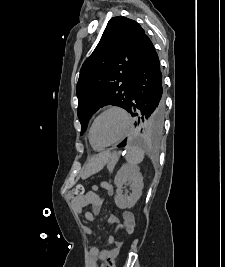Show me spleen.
Returning a JSON list of instances; mask_svg holds the SVG:
<instances>
[{
  "instance_id": "obj_1",
  "label": "spleen",
  "mask_w": 225,
  "mask_h": 267,
  "mask_svg": "<svg viewBox=\"0 0 225 267\" xmlns=\"http://www.w3.org/2000/svg\"><path fill=\"white\" fill-rule=\"evenodd\" d=\"M145 151L138 146H127L125 159L131 166H136L144 159Z\"/></svg>"
}]
</instances>
